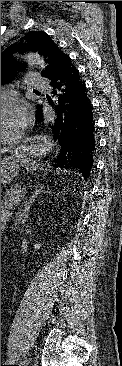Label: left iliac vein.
Masks as SVG:
<instances>
[{"label":"left iliac vein","instance_id":"1","mask_svg":"<svg viewBox=\"0 0 122 366\" xmlns=\"http://www.w3.org/2000/svg\"><path fill=\"white\" fill-rule=\"evenodd\" d=\"M13 357H15V358H16V356H13ZM29 362H30V359H29V358H25V359L23 360V365H24V366H27V365L29 364Z\"/></svg>","mask_w":122,"mask_h":366}]
</instances>
